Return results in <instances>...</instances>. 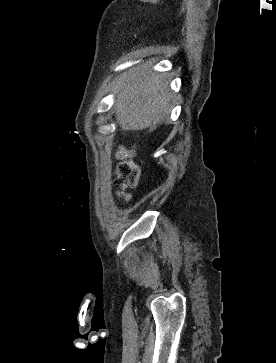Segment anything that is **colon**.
<instances>
[{"mask_svg": "<svg viewBox=\"0 0 276 363\" xmlns=\"http://www.w3.org/2000/svg\"><path fill=\"white\" fill-rule=\"evenodd\" d=\"M118 158L121 160L115 173V184L121 188V196L128 199V194L124 192L127 188H133L137 185L139 178L138 167L130 160L132 151L126 147H122L117 152Z\"/></svg>", "mask_w": 276, "mask_h": 363, "instance_id": "obj_1", "label": "colon"}]
</instances>
